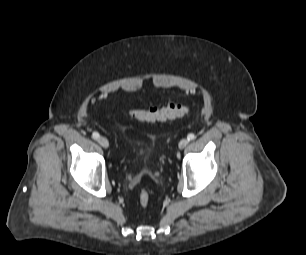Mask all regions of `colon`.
<instances>
[{"instance_id": "1", "label": "colon", "mask_w": 306, "mask_h": 255, "mask_svg": "<svg viewBox=\"0 0 306 255\" xmlns=\"http://www.w3.org/2000/svg\"><path fill=\"white\" fill-rule=\"evenodd\" d=\"M189 108L181 103H170L165 107L133 108L126 111V114L142 122L168 121L174 118L185 116ZM150 201V194L147 189L141 188L139 192V203L146 208Z\"/></svg>"}]
</instances>
